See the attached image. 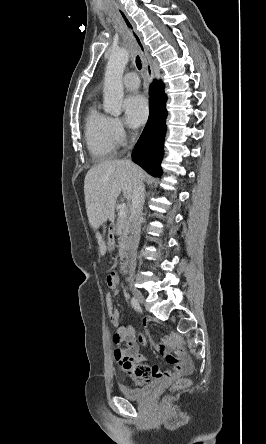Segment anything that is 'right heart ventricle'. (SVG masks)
<instances>
[{
    "instance_id": "1",
    "label": "right heart ventricle",
    "mask_w": 266,
    "mask_h": 444,
    "mask_svg": "<svg viewBox=\"0 0 266 444\" xmlns=\"http://www.w3.org/2000/svg\"><path fill=\"white\" fill-rule=\"evenodd\" d=\"M84 134L88 150L93 157L102 160L114 156L116 141L111 129V118L101 113L96 103L88 108Z\"/></svg>"
}]
</instances>
